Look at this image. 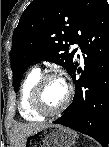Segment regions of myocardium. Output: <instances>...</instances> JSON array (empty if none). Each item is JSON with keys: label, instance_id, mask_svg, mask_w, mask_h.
I'll return each instance as SVG.
<instances>
[{"label": "myocardium", "instance_id": "myocardium-1", "mask_svg": "<svg viewBox=\"0 0 109 147\" xmlns=\"http://www.w3.org/2000/svg\"><path fill=\"white\" fill-rule=\"evenodd\" d=\"M50 79H60L62 80L65 85H66V97L62 104L57 107L56 109L53 110H47L41 102V91L44 86V84L50 80ZM71 98V86L67 81V78L65 77L64 74L58 73V72H52V73H47L40 75L36 83L34 84L29 100H28V105L29 108L36 114L40 116H56L62 113L68 106Z\"/></svg>", "mask_w": 109, "mask_h": 147}]
</instances>
